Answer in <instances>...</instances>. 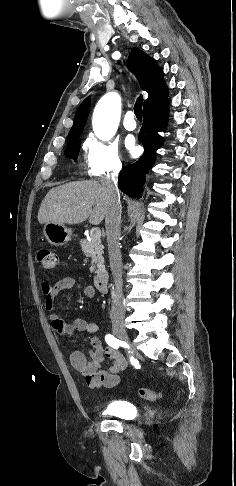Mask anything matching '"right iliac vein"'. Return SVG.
Segmentation results:
<instances>
[{
	"label": "right iliac vein",
	"mask_w": 236,
	"mask_h": 486,
	"mask_svg": "<svg viewBox=\"0 0 236 486\" xmlns=\"http://www.w3.org/2000/svg\"><path fill=\"white\" fill-rule=\"evenodd\" d=\"M112 328H113V332L114 334L122 341L130 344V341H129V337H128V334H127V331H126V328H125V325H124V322L123 320L121 319H113L112 320Z\"/></svg>",
	"instance_id": "63e3f726"
}]
</instances>
